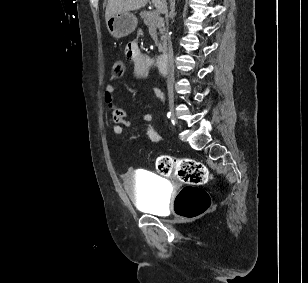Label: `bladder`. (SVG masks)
<instances>
[{"mask_svg": "<svg viewBox=\"0 0 308 283\" xmlns=\"http://www.w3.org/2000/svg\"><path fill=\"white\" fill-rule=\"evenodd\" d=\"M124 184L138 209L154 215L165 214L167 186L163 179L147 171H136L127 174Z\"/></svg>", "mask_w": 308, "mask_h": 283, "instance_id": "obj_1", "label": "bladder"}]
</instances>
